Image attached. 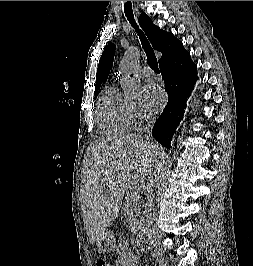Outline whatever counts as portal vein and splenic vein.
I'll return each mask as SVG.
<instances>
[{
    "mask_svg": "<svg viewBox=\"0 0 253 266\" xmlns=\"http://www.w3.org/2000/svg\"><path fill=\"white\" fill-rule=\"evenodd\" d=\"M137 190L138 189H136V188L134 189V195H137V193H138Z\"/></svg>",
    "mask_w": 253,
    "mask_h": 266,
    "instance_id": "portal-vein-and-splenic-vein-1",
    "label": "portal vein and splenic vein"
}]
</instances>
